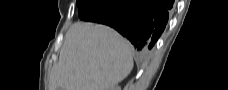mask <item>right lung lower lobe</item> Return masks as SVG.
<instances>
[{"instance_id": "98d812e1", "label": "right lung lower lobe", "mask_w": 228, "mask_h": 90, "mask_svg": "<svg viewBox=\"0 0 228 90\" xmlns=\"http://www.w3.org/2000/svg\"><path fill=\"white\" fill-rule=\"evenodd\" d=\"M173 0H101L80 18L108 25L126 37L139 56L152 50L168 21Z\"/></svg>"}]
</instances>
